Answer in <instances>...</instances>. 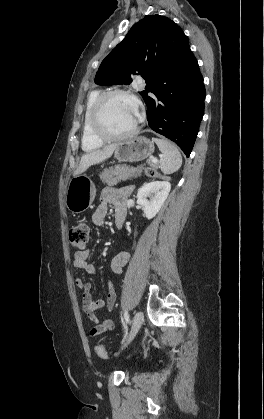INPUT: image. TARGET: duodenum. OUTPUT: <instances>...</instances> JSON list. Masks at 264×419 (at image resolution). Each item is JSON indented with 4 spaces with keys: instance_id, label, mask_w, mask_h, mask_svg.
Segmentation results:
<instances>
[{
    "instance_id": "410a0bca",
    "label": "duodenum",
    "mask_w": 264,
    "mask_h": 419,
    "mask_svg": "<svg viewBox=\"0 0 264 419\" xmlns=\"http://www.w3.org/2000/svg\"><path fill=\"white\" fill-rule=\"evenodd\" d=\"M115 222L117 227L121 228L123 226L124 220L121 217H118Z\"/></svg>"
}]
</instances>
